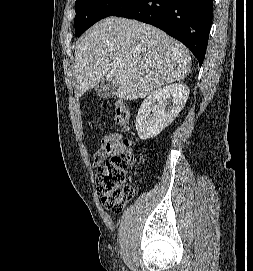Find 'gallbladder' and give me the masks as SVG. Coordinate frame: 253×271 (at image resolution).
Here are the masks:
<instances>
[{
    "label": "gallbladder",
    "mask_w": 253,
    "mask_h": 271,
    "mask_svg": "<svg viewBox=\"0 0 253 271\" xmlns=\"http://www.w3.org/2000/svg\"><path fill=\"white\" fill-rule=\"evenodd\" d=\"M116 85L109 79L103 78L95 87L96 94L102 99H109L116 94Z\"/></svg>",
    "instance_id": "obj_1"
}]
</instances>
